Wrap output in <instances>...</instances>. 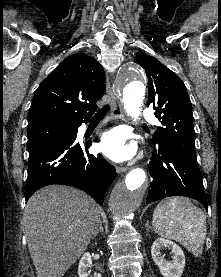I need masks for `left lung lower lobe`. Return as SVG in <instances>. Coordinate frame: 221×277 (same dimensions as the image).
<instances>
[{
	"label": "left lung lower lobe",
	"instance_id": "obj_1",
	"mask_svg": "<svg viewBox=\"0 0 221 277\" xmlns=\"http://www.w3.org/2000/svg\"><path fill=\"white\" fill-rule=\"evenodd\" d=\"M149 162L152 177L146 203L169 196H187L207 209L202 175L195 158L167 144H155Z\"/></svg>",
	"mask_w": 221,
	"mask_h": 277
}]
</instances>
